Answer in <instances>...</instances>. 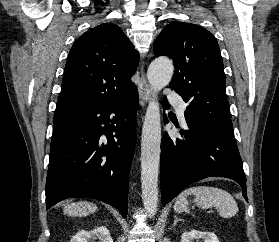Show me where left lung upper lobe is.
Segmentation results:
<instances>
[{"label":"left lung upper lobe","mask_w":279,"mask_h":242,"mask_svg":"<svg viewBox=\"0 0 279 242\" xmlns=\"http://www.w3.org/2000/svg\"><path fill=\"white\" fill-rule=\"evenodd\" d=\"M153 52L174 61L170 87L188 104L184 112L187 124L233 137L223 61L215 37L198 25L174 22L158 35Z\"/></svg>","instance_id":"1"}]
</instances>
